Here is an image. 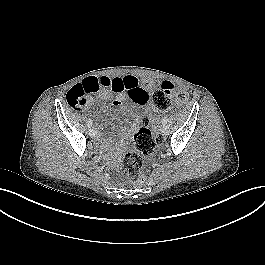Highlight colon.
Listing matches in <instances>:
<instances>
[{"label":"colon","mask_w":265,"mask_h":265,"mask_svg":"<svg viewBox=\"0 0 265 265\" xmlns=\"http://www.w3.org/2000/svg\"><path fill=\"white\" fill-rule=\"evenodd\" d=\"M130 87V86H129ZM98 85L92 79L81 85L71 88L66 94L68 105L74 109H80L90 93L96 92ZM128 89V88H127ZM185 102L186 93L175 91L170 82H163L152 94V105L157 111H165L172 105V101ZM157 125V117L148 114L144 117V126L134 136L135 150L128 151L123 157V165L131 183L139 184L145 181L142 173V157L152 153L160 143V138L151 126Z\"/></svg>","instance_id":"colon-1"}]
</instances>
